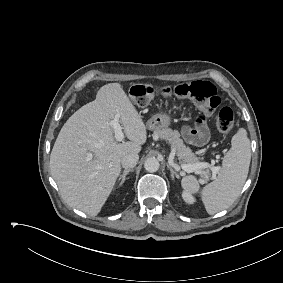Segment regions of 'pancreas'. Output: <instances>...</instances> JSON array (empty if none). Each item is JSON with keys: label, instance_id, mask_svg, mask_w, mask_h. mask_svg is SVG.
Segmentation results:
<instances>
[{"label": "pancreas", "instance_id": "1", "mask_svg": "<svg viewBox=\"0 0 283 283\" xmlns=\"http://www.w3.org/2000/svg\"><path fill=\"white\" fill-rule=\"evenodd\" d=\"M154 135L158 136L160 139L166 140L169 144H171L181 162L191 165L204 163L200 162L199 158L192 152V150L184 144L178 131L165 128L154 131ZM208 167V165H200V167L197 169L198 173H200L205 180L209 176V172L206 170Z\"/></svg>", "mask_w": 283, "mask_h": 283}]
</instances>
